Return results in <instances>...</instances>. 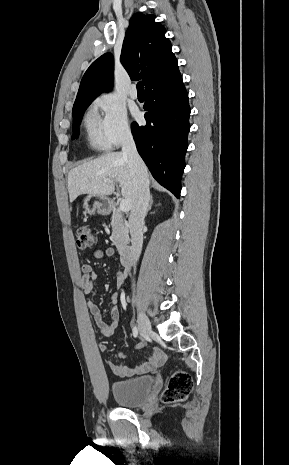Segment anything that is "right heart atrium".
<instances>
[{"label":"right heart atrium","instance_id":"1","mask_svg":"<svg viewBox=\"0 0 289 465\" xmlns=\"http://www.w3.org/2000/svg\"><path fill=\"white\" fill-rule=\"evenodd\" d=\"M102 112V130L110 146H119L131 137V127L125 107L112 95L104 94L95 100Z\"/></svg>","mask_w":289,"mask_h":465}]
</instances>
